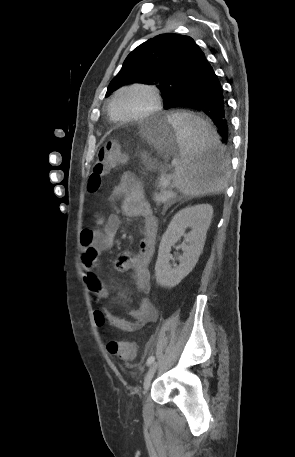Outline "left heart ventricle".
<instances>
[{
	"instance_id": "b2bd125f",
	"label": "left heart ventricle",
	"mask_w": 295,
	"mask_h": 457,
	"mask_svg": "<svg viewBox=\"0 0 295 457\" xmlns=\"http://www.w3.org/2000/svg\"><path fill=\"white\" fill-rule=\"evenodd\" d=\"M151 103V97L146 91L133 89L121 93L113 108L118 117H131L147 110Z\"/></svg>"
}]
</instances>
